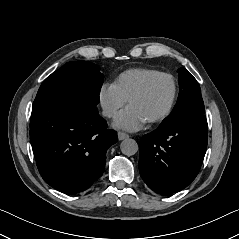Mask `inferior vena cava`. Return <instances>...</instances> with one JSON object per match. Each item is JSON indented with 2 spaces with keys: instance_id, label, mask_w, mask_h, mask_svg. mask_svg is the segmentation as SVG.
Returning <instances> with one entry per match:
<instances>
[{
  "instance_id": "1",
  "label": "inferior vena cava",
  "mask_w": 239,
  "mask_h": 239,
  "mask_svg": "<svg viewBox=\"0 0 239 239\" xmlns=\"http://www.w3.org/2000/svg\"><path fill=\"white\" fill-rule=\"evenodd\" d=\"M115 111L111 108H104L102 111L103 116L105 117H112L114 115Z\"/></svg>"
}]
</instances>
